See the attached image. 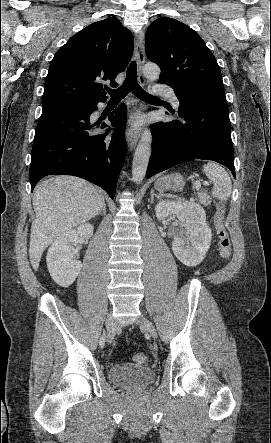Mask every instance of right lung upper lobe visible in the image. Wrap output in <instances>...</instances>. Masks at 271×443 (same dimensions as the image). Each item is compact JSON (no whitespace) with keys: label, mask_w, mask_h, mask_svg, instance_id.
<instances>
[{"label":"right lung upper lobe","mask_w":271,"mask_h":443,"mask_svg":"<svg viewBox=\"0 0 271 443\" xmlns=\"http://www.w3.org/2000/svg\"><path fill=\"white\" fill-rule=\"evenodd\" d=\"M133 35L116 18L92 23L55 54L44 85L43 104L106 101L103 85L96 80L115 77L125 70L133 53Z\"/></svg>","instance_id":"1"}]
</instances>
